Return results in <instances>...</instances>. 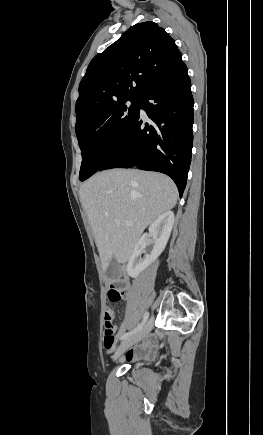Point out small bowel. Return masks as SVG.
Masks as SVG:
<instances>
[{"instance_id":"c3829d8e","label":"small bowel","mask_w":263,"mask_h":435,"mask_svg":"<svg viewBox=\"0 0 263 435\" xmlns=\"http://www.w3.org/2000/svg\"><path fill=\"white\" fill-rule=\"evenodd\" d=\"M109 312V314L111 315L112 319H113V312L110 308H107L105 310V312ZM133 325V321L129 318L125 319L121 325L120 328L116 334V339H121V337L127 333L128 329L130 327H132ZM155 347V338L154 337H148L146 339H144L142 341V343H140L136 348L131 349L127 355H126V359L128 361L131 360H136V359H140L145 357L146 355H148ZM107 351H111V350H107Z\"/></svg>"}]
</instances>
